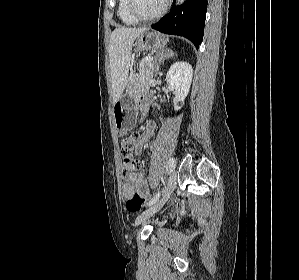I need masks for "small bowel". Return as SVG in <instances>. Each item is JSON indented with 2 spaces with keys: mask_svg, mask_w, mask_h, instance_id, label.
<instances>
[{
  "mask_svg": "<svg viewBox=\"0 0 299 280\" xmlns=\"http://www.w3.org/2000/svg\"><path fill=\"white\" fill-rule=\"evenodd\" d=\"M142 107H144V104H142ZM156 127L155 121H149L144 131L136 138L135 152L137 154L142 153L149 146V140L153 137ZM136 194L141 196L145 201L149 197V184L142 170L126 174L124 183L122 184V195L125 199H130Z\"/></svg>",
  "mask_w": 299,
  "mask_h": 280,
  "instance_id": "obj_1",
  "label": "small bowel"
}]
</instances>
